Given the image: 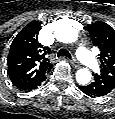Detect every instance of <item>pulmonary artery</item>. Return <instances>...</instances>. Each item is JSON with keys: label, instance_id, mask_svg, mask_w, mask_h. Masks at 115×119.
Instances as JSON below:
<instances>
[{"label": "pulmonary artery", "instance_id": "1", "mask_svg": "<svg viewBox=\"0 0 115 119\" xmlns=\"http://www.w3.org/2000/svg\"><path fill=\"white\" fill-rule=\"evenodd\" d=\"M76 54L78 58L84 63L86 66L90 68H97L98 62L94 58V56L89 52L86 46L83 43H79L76 49Z\"/></svg>", "mask_w": 115, "mask_h": 119}]
</instances>
